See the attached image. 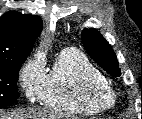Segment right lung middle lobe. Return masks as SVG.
I'll list each match as a JSON object with an SVG mask.
<instances>
[{
  "label": "right lung middle lobe",
  "mask_w": 142,
  "mask_h": 119,
  "mask_svg": "<svg viewBox=\"0 0 142 119\" xmlns=\"http://www.w3.org/2000/svg\"><path fill=\"white\" fill-rule=\"evenodd\" d=\"M27 57L0 61V108L15 103L19 97L17 80L21 65Z\"/></svg>",
  "instance_id": "1"
}]
</instances>
